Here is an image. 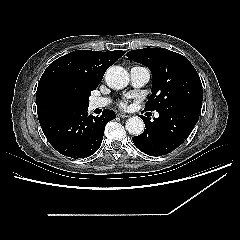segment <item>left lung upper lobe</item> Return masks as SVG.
<instances>
[{
	"mask_svg": "<svg viewBox=\"0 0 240 240\" xmlns=\"http://www.w3.org/2000/svg\"><path fill=\"white\" fill-rule=\"evenodd\" d=\"M129 60L147 66L153 76L152 94L145 110L163 111L190 101H202V84L189 60L164 48L129 51Z\"/></svg>",
	"mask_w": 240,
	"mask_h": 240,
	"instance_id": "left-lung-upper-lobe-1",
	"label": "left lung upper lobe"
}]
</instances>
